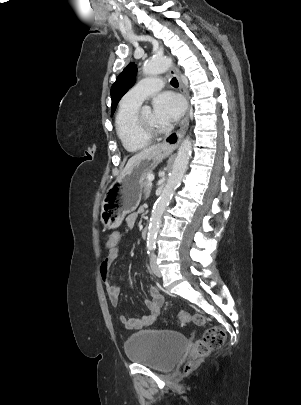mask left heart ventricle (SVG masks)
I'll use <instances>...</instances> for the list:
<instances>
[{"mask_svg":"<svg viewBox=\"0 0 301 405\" xmlns=\"http://www.w3.org/2000/svg\"><path fill=\"white\" fill-rule=\"evenodd\" d=\"M142 120L144 124L150 128L161 129L163 125H161L158 120L156 119L154 113L150 110H146L142 112Z\"/></svg>","mask_w":301,"mask_h":405,"instance_id":"1","label":"left heart ventricle"}]
</instances>
